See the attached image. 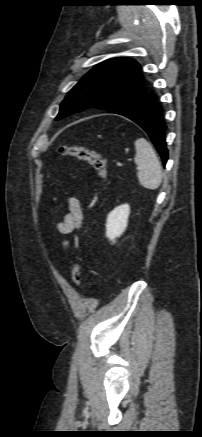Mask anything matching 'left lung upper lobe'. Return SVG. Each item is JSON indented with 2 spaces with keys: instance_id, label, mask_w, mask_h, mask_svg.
<instances>
[{
  "instance_id": "obj_1",
  "label": "left lung upper lobe",
  "mask_w": 202,
  "mask_h": 437,
  "mask_svg": "<svg viewBox=\"0 0 202 437\" xmlns=\"http://www.w3.org/2000/svg\"><path fill=\"white\" fill-rule=\"evenodd\" d=\"M139 64L129 58L101 62L68 92L55 120L89 107L110 109L145 93Z\"/></svg>"
}]
</instances>
